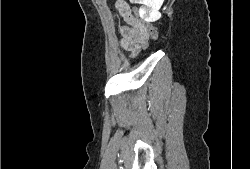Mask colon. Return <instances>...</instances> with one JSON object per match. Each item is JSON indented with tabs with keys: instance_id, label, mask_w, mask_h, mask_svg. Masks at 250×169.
<instances>
[{
	"instance_id": "obj_1",
	"label": "colon",
	"mask_w": 250,
	"mask_h": 169,
	"mask_svg": "<svg viewBox=\"0 0 250 169\" xmlns=\"http://www.w3.org/2000/svg\"><path fill=\"white\" fill-rule=\"evenodd\" d=\"M118 8L127 15H130L129 8L124 2L118 3ZM134 13H137L135 15V18L137 21H139L141 28L139 29V35L136 36V41L138 43H145L147 39L150 38H157V31L156 27L153 23H150L149 20H146L144 15L142 14L141 8H139V5H134Z\"/></svg>"
}]
</instances>
